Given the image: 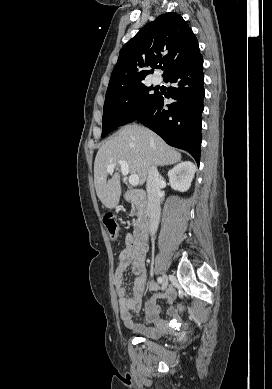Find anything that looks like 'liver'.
Returning <instances> with one entry per match:
<instances>
[{"instance_id": "liver-1", "label": "liver", "mask_w": 272, "mask_h": 389, "mask_svg": "<svg viewBox=\"0 0 272 389\" xmlns=\"http://www.w3.org/2000/svg\"><path fill=\"white\" fill-rule=\"evenodd\" d=\"M129 165V172L137 174L143 185L152 165H172L181 161V154L168 146L161 137L137 124L122 127L98 150L94 162V184L102 204L115 208L121 196L118 161ZM116 164V173L107 179V168Z\"/></svg>"}]
</instances>
